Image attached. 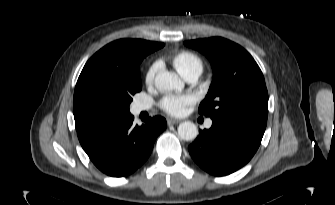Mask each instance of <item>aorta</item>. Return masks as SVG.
I'll list each match as a JSON object with an SVG mask.
<instances>
[{
  "instance_id": "1",
  "label": "aorta",
  "mask_w": 335,
  "mask_h": 205,
  "mask_svg": "<svg viewBox=\"0 0 335 205\" xmlns=\"http://www.w3.org/2000/svg\"><path fill=\"white\" fill-rule=\"evenodd\" d=\"M155 86L160 91H171L182 89L184 83L175 73L161 71L155 77ZM178 135L186 141L194 140L198 135V128L193 122H183L178 126Z\"/></svg>"
}]
</instances>
